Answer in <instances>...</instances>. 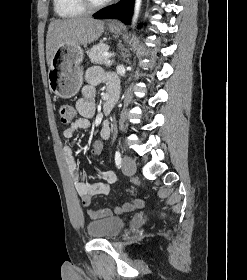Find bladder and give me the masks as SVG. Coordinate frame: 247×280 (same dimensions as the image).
I'll list each match as a JSON object with an SVG mask.
<instances>
[{"mask_svg":"<svg viewBox=\"0 0 247 280\" xmlns=\"http://www.w3.org/2000/svg\"><path fill=\"white\" fill-rule=\"evenodd\" d=\"M124 221L118 217H107L91 221L87 225L88 235L97 239L116 237L123 229Z\"/></svg>","mask_w":247,"mask_h":280,"instance_id":"bladder-1","label":"bladder"}]
</instances>
